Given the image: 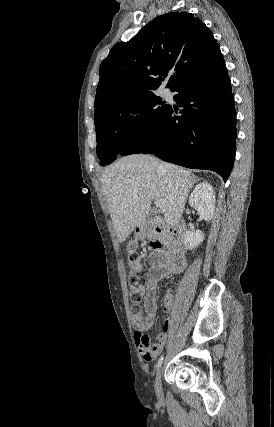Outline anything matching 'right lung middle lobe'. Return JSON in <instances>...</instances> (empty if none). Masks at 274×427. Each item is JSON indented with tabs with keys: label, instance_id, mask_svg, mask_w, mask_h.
Segmentation results:
<instances>
[{
	"label": "right lung middle lobe",
	"instance_id": "right-lung-middle-lobe-1",
	"mask_svg": "<svg viewBox=\"0 0 274 427\" xmlns=\"http://www.w3.org/2000/svg\"><path fill=\"white\" fill-rule=\"evenodd\" d=\"M168 108L155 94H145L121 100L95 115L100 165L111 163L127 146L145 137Z\"/></svg>",
	"mask_w": 274,
	"mask_h": 427
}]
</instances>
